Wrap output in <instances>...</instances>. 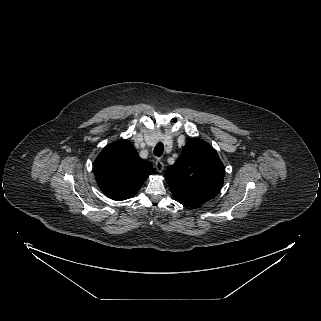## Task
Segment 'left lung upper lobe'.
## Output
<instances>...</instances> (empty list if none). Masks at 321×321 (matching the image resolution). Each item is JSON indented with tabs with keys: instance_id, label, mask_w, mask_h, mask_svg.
I'll return each instance as SVG.
<instances>
[{
	"instance_id": "obj_1",
	"label": "left lung upper lobe",
	"mask_w": 321,
	"mask_h": 321,
	"mask_svg": "<svg viewBox=\"0 0 321 321\" xmlns=\"http://www.w3.org/2000/svg\"><path fill=\"white\" fill-rule=\"evenodd\" d=\"M165 179L176 201L198 207L220 191L224 165L212 146L192 138L186 142L179 159L167 168Z\"/></svg>"
}]
</instances>
